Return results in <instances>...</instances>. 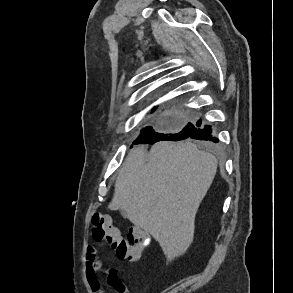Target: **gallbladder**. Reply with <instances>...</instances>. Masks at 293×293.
Listing matches in <instances>:
<instances>
[{"instance_id":"obj_1","label":"gallbladder","mask_w":293,"mask_h":293,"mask_svg":"<svg viewBox=\"0 0 293 293\" xmlns=\"http://www.w3.org/2000/svg\"><path fill=\"white\" fill-rule=\"evenodd\" d=\"M120 211H121V214H122L123 216H125V212H124L122 209H120Z\"/></svg>"}]
</instances>
